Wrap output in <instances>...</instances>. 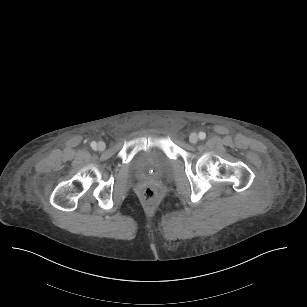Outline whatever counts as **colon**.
I'll list each match as a JSON object with an SVG mask.
<instances>
[{"mask_svg": "<svg viewBox=\"0 0 307 307\" xmlns=\"http://www.w3.org/2000/svg\"><path fill=\"white\" fill-rule=\"evenodd\" d=\"M141 199L145 203H153L157 199V192L153 188H145L141 192Z\"/></svg>", "mask_w": 307, "mask_h": 307, "instance_id": "1", "label": "colon"}]
</instances>
